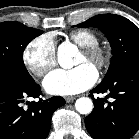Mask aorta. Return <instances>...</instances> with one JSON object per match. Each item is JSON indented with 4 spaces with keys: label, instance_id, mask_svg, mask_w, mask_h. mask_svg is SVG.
<instances>
[{
    "label": "aorta",
    "instance_id": "1",
    "mask_svg": "<svg viewBox=\"0 0 139 139\" xmlns=\"http://www.w3.org/2000/svg\"><path fill=\"white\" fill-rule=\"evenodd\" d=\"M77 53L76 47L71 43H62L58 47V62L64 69H70L73 67V57ZM75 109L80 114H89L93 110V102L88 97H81L75 102Z\"/></svg>",
    "mask_w": 139,
    "mask_h": 139
}]
</instances>
